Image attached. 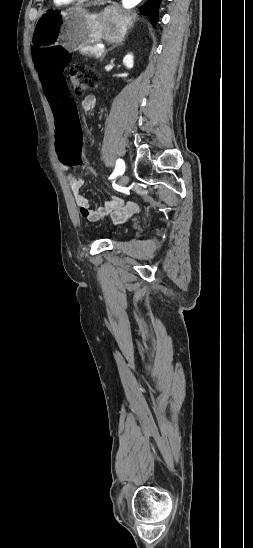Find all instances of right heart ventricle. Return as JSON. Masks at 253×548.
Here are the masks:
<instances>
[{
  "label": "right heart ventricle",
  "instance_id": "right-heart-ventricle-1",
  "mask_svg": "<svg viewBox=\"0 0 253 548\" xmlns=\"http://www.w3.org/2000/svg\"><path fill=\"white\" fill-rule=\"evenodd\" d=\"M74 0H53V2L56 4V5H68L70 3H72Z\"/></svg>",
  "mask_w": 253,
  "mask_h": 548
}]
</instances>
